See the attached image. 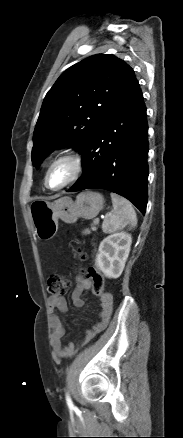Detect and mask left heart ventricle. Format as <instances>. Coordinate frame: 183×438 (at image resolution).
I'll use <instances>...</instances> for the list:
<instances>
[{"instance_id": "left-heart-ventricle-1", "label": "left heart ventricle", "mask_w": 183, "mask_h": 438, "mask_svg": "<svg viewBox=\"0 0 183 438\" xmlns=\"http://www.w3.org/2000/svg\"><path fill=\"white\" fill-rule=\"evenodd\" d=\"M72 175V166L67 161L55 164L49 171L48 184L50 187H58L65 183Z\"/></svg>"}]
</instances>
